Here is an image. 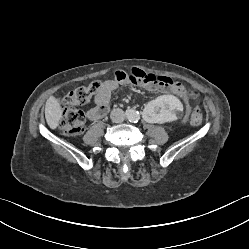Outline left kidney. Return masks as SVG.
Instances as JSON below:
<instances>
[{
    "mask_svg": "<svg viewBox=\"0 0 249 249\" xmlns=\"http://www.w3.org/2000/svg\"><path fill=\"white\" fill-rule=\"evenodd\" d=\"M182 104L175 95H165L147 104L142 109L143 120L148 125L169 123L180 118Z\"/></svg>",
    "mask_w": 249,
    "mask_h": 249,
    "instance_id": "5707ae66",
    "label": "left kidney"
}]
</instances>
